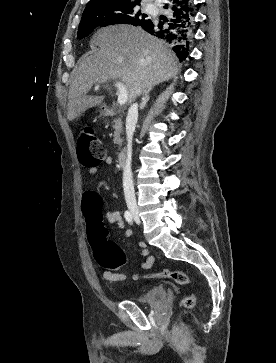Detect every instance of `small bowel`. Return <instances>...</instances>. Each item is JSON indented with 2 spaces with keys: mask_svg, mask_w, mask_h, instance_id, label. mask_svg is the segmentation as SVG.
Instances as JSON below:
<instances>
[{
  "mask_svg": "<svg viewBox=\"0 0 276 363\" xmlns=\"http://www.w3.org/2000/svg\"><path fill=\"white\" fill-rule=\"evenodd\" d=\"M112 162L111 157H107L104 160L105 165H109ZM89 175H95L97 173L96 167H90L88 170ZM100 207V200L97 192L92 190H87L83 193V208L84 211L87 213L88 210H94L97 211ZM106 221L108 223H114L117 224V226L121 229L125 227L122 215L119 211H111L106 213L105 215ZM127 236L130 237L132 235V232L128 231ZM138 247L141 252L142 262L141 266L144 269H149L155 262V258L151 255H149V251L147 248V245L144 242H139ZM103 278L109 282H117V281H123L127 278V274L124 272H113L110 270H106L102 274ZM139 273H132L131 278L133 280H137L140 278Z\"/></svg>",
  "mask_w": 276,
  "mask_h": 363,
  "instance_id": "1",
  "label": "small bowel"
}]
</instances>
